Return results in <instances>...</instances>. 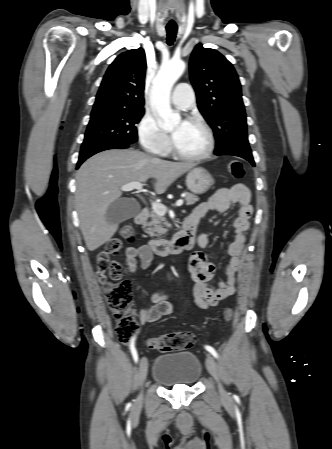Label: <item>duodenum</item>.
<instances>
[{
  "mask_svg": "<svg viewBox=\"0 0 332 449\" xmlns=\"http://www.w3.org/2000/svg\"><path fill=\"white\" fill-rule=\"evenodd\" d=\"M147 217L148 209L142 208L134 218L135 223L142 225L146 222ZM195 230L193 220L187 217L183 220L179 231L171 239H151L149 246L159 256L183 252L193 246Z\"/></svg>",
  "mask_w": 332,
  "mask_h": 449,
  "instance_id": "1",
  "label": "duodenum"
}]
</instances>
